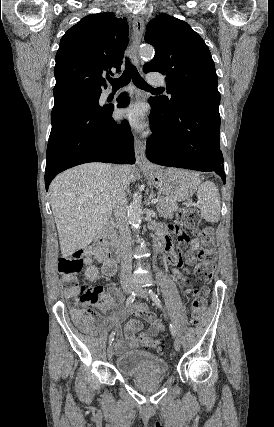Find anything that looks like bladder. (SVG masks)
<instances>
[{"mask_svg":"<svg viewBox=\"0 0 274 427\" xmlns=\"http://www.w3.org/2000/svg\"><path fill=\"white\" fill-rule=\"evenodd\" d=\"M116 371L127 378L167 376L169 365L150 352L132 349L116 357Z\"/></svg>","mask_w":274,"mask_h":427,"instance_id":"bladder-1","label":"bladder"}]
</instances>
